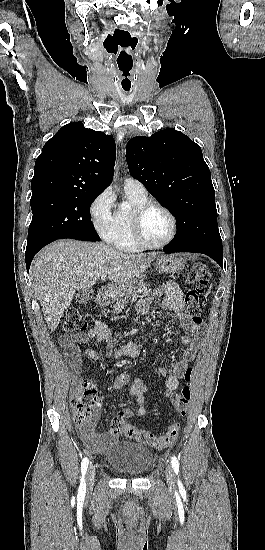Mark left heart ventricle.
<instances>
[{
  "mask_svg": "<svg viewBox=\"0 0 265 550\" xmlns=\"http://www.w3.org/2000/svg\"><path fill=\"white\" fill-rule=\"evenodd\" d=\"M142 231L148 242L161 243L165 241L170 234V219L162 210L151 209L143 218Z\"/></svg>",
  "mask_w": 265,
  "mask_h": 550,
  "instance_id": "1",
  "label": "left heart ventricle"
}]
</instances>
